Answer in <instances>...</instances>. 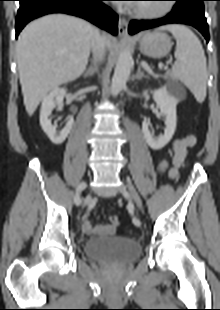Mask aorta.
<instances>
[{
  "instance_id": "1",
  "label": "aorta",
  "mask_w": 220,
  "mask_h": 310,
  "mask_svg": "<svg viewBox=\"0 0 220 310\" xmlns=\"http://www.w3.org/2000/svg\"><path fill=\"white\" fill-rule=\"evenodd\" d=\"M133 66L132 56L129 50H123L118 58L111 84V94L118 95L126 86Z\"/></svg>"
}]
</instances>
